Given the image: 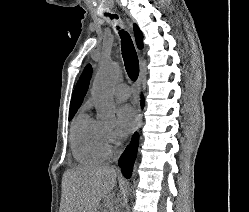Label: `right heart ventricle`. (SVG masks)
Returning <instances> with one entry per match:
<instances>
[{"label":"right heart ventricle","mask_w":249,"mask_h":212,"mask_svg":"<svg viewBox=\"0 0 249 212\" xmlns=\"http://www.w3.org/2000/svg\"><path fill=\"white\" fill-rule=\"evenodd\" d=\"M101 126L85 111H81L72 121L70 147L74 159L83 164L99 163L103 153L99 144Z\"/></svg>","instance_id":"obj_1"}]
</instances>
